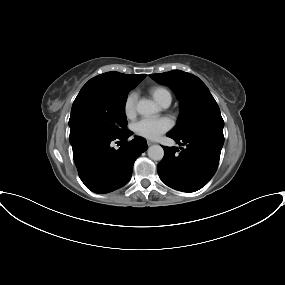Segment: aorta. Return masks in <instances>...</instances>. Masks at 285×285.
I'll use <instances>...</instances> for the list:
<instances>
[{"instance_id":"aorta-1","label":"aorta","mask_w":285,"mask_h":285,"mask_svg":"<svg viewBox=\"0 0 285 285\" xmlns=\"http://www.w3.org/2000/svg\"><path fill=\"white\" fill-rule=\"evenodd\" d=\"M136 110L139 114L146 117L156 114L159 111L157 105L148 99L139 100ZM148 156L154 161H160L164 156V150L160 145H152L148 148Z\"/></svg>"}]
</instances>
